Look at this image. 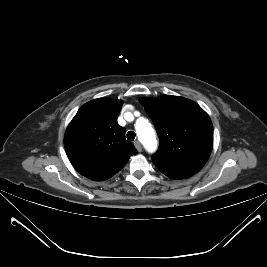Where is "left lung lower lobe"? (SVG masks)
<instances>
[{"label": "left lung lower lobe", "instance_id": "obj_1", "mask_svg": "<svg viewBox=\"0 0 267 267\" xmlns=\"http://www.w3.org/2000/svg\"><path fill=\"white\" fill-rule=\"evenodd\" d=\"M168 176V175H167ZM168 177H170V178H172V179H177V178H174V177H172V176H168Z\"/></svg>", "mask_w": 267, "mask_h": 267}]
</instances>
